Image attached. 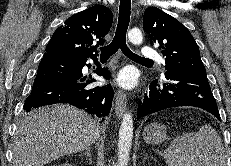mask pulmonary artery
<instances>
[{"mask_svg":"<svg viewBox=\"0 0 231 166\" xmlns=\"http://www.w3.org/2000/svg\"><path fill=\"white\" fill-rule=\"evenodd\" d=\"M141 56L144 58H154V59H159L161 62L164 60L160 58L159 54L152 48L149 47H144L141 50Z\"/></svg>","mask_w":231,"mask_h":166,"instance_id":"e3ab8cb5","label":"pulmonary artery"}]
</instances>
